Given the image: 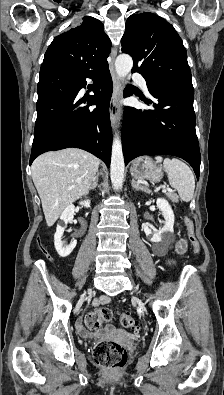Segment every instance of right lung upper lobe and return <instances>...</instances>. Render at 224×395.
Wrapping results in <instances>:
<instances>
[{"instance_id": "1", "label": "right lung upper lobe", "mask_w": 224, "mask_h": 395, "mask_svg": "<svg viewBox=\"0 0 224 395\" xmlns=\"http://www.w3.org/2000/svg\"><path fill=\"white\" fill-rule=\"evenodd\" d=\"M111 41L103 24L85 16L83 22L54 38L43 63L58 64L71 71L92 73L108 66Z\"/></svg>"}]
</instances>
